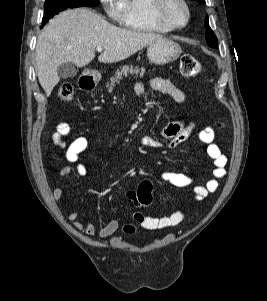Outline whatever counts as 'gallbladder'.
I'll return each instance as SVG.
<instances>
[{
    "instance_id": "bac80fb5",
    "label": "gallbladder",
    "mask_w": 267,
    "mask_h": 301,
    "mask_svg": "<svg viewBox=\"0 0 267 301\" xmlns=\"http://www.w3.org/2000/svg\"><path fill=\"white\" fill-rule=\"evenodd\" d=\"M57 73H58L59 77H61L63 79H67V78H72V77L76 76L77 69L73 63L66 62V63L59 65V67L57 69Z\"/></svg>"
}]
</instances>
